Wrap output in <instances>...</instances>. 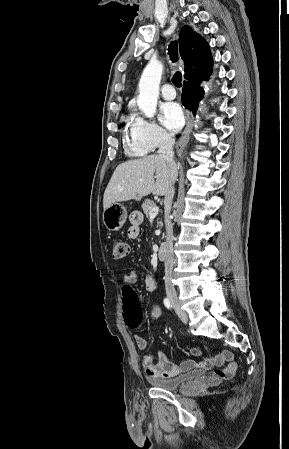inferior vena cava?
Returning <instances> with one entry per match:
<instances>
[{
  "instance_id": "inferior-vena-cava-1",
  "label": "inferior vena cava",
  "mask_w": 289,
  "mask_h": 449,
  "mask_svg": "<svg viewBox=\"0 0 289 449\" xmlns=\"http://www.w3.org/2000/svg\"><path fill=\"white\" fill-rule=\"evenodd\" d=\"M175 143L174 135L167 133L164 135L158 154L166 159L171 168L175 167L173 145ZM175 194L174 181H172L168 192L165 194L164 204L167 209L165 216L166 226V257H165V289L167 292H175L174 285L172 284V271L174 265V252H173V224L169 216V212L172 205V200Z\"/></svg>"
}]
</instances>
